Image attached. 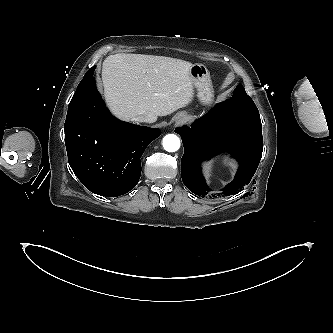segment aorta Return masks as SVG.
<instances>
[{
	"label": "aorta",
	"instance_id": "obj_1",
	"mask_svg": "<svg viewBox=\"0 0 333 333\" xmlns=\"http://www.w3.org/2000/svg\"><path fill=\"white\" fill-rule=\"evenodd\" d=\"M163 148L168 152H175L180 148V139L174 134H168L163 138Z\"/></svg>",
	"mask_w": 333,
	"mask_h": 333
}]
</instances>
